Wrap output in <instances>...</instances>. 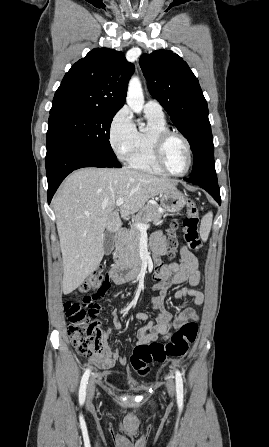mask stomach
<instances>
[{
	"mask_svg": "<svg viewBox=\"0 0 269 447\" xmlns=\"http://www.w3.org/2000/svg\"><path fill=\"white\" fill-rule=\"evenodd\" d=\"M160 204L165 212L176 214V212H180V210L184 208L186 198L184 194H181L178 190H170V192H163Z\"/></svg>",
	"mask_w": 269,
	"mask_h": 447,
	"instance_id": "stomach-1",
	"label": "stomach"
}]
</instances>
